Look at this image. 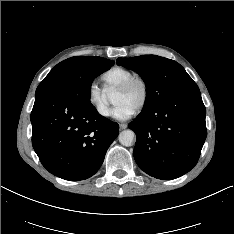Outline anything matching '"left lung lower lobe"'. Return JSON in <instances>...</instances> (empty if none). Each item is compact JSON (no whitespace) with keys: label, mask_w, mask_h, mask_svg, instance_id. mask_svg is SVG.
Segmentation results:
<instances>
[{"label":"left lung lower lobe","mask_w":234,"mask_h":234,"mask_svg":"<svg viewBox=\"0 0 234 234\" xmlns=\"http://www.w3.org/2000/svg\"><path fill=\"white\" fill-rule=\"evenodd\" d=\"M205 116L196 83L141 112L128 124L137 136L134 158L138 166L162 180L189 172L196 165L206 139Z\"/></svg>","instance_id":"1"}]
</instances>
